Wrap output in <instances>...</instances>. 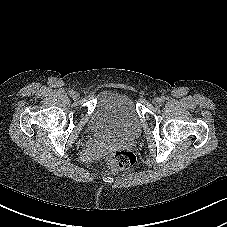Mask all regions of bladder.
<instances>
[{
	"instance_id": "obj_1",
	"label": "bladder",
	"mask_w": 227,
	"mask_h": 227,
	"mask_svg": "<svg viewBox=\"0 0 227 227\" xmlns=\"http://www.w3.org/2000/svg\"><path fill=\"white\" fill-rule=\"evenodd\" d=\"M90 129L102 142H130L141 134L142 123L128 96L108 91L95 107Z\"/></svg>"
}]
</instances>
